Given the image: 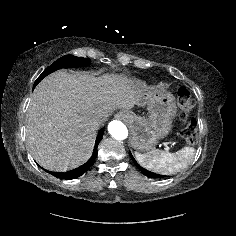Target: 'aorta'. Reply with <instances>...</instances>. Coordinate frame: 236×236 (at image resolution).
Masks as SVG:
<instances>
[{"label":"aorta","mask_w":236,"mask_h":236,"mask_svg":"<svg viewBox=\"0 0 236 236\" xmlns=\"http://www.w3.org/2000/svg\"><path fill=\"white\" fill-rule=\"evenodd\" d=\"M108 131L110 135L117 140H124L128 136L127 127L124 125V123L118 120H113L109 123Z\"/></svg>","instance_id":"1"}]
</instances>
